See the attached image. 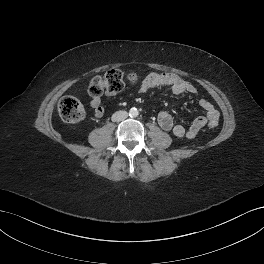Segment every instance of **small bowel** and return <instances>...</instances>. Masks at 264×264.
Here are the masks:
<instances>
[{
	"mask_svg": "<svg viewBox=\"0 0 264 264\" xmlns=\"http://www.w3.org/2000/svg\"><path fill=\"white\" fill-rule=\"evenodd\" d=\"M153 88H167L175 95L185 93L198 95V91L194 85L173 73H149L143 80L140 91L146 92ZM90 104L96 117L100 118L104 115L105 110L102 106L100 97H92ZM198 104L205 111V116H198L195 118L188 128L175 123L172 116L166 111H162L158 114V123L160 127L167 132H171L178 138H195L199 131L209 121H218L219 119V112L211 102L205 98L198 97Z\"/></svg>",
	"mask_w": 264,
	"mask_h": 264,
	"instance_id": "1",
	"label": "small bowel"
}]
</instances>
